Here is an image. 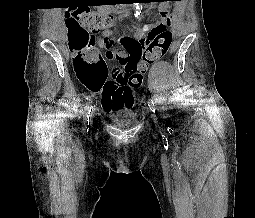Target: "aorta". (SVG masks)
Wrapping results in <instances>:
<instances>
[{
    "instance_id": "obj_1",
    "label": "aorta",
    "mask_w": 255,
    "mask_h": 218,
    "mask_svg": "<svg viewBox=\"0 0 255 218\" xmlns=\"http://www.w3.org/2000/svg\"><path fill=\"white\" fill-rule=\"evenodd\" d=\"M141 7H140V4L139 3H135V13H134V16L137 20L140 19V13H141Z\"/></svg>"
}]
</instances>
